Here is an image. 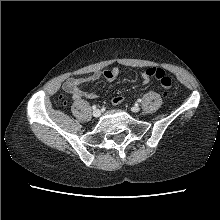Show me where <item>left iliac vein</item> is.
Returning a JSON list of instances; mask_svg holds the SVG:
<instances>
[{"mask_svg": "<svg viewBox=\"0 0 220 220\" xmlns=\"http://www.w3.org/2000/svg\"><path fill=\"white\" fill-rule=\"evenodd\" d=\"M131 110L135 113L139 112L140 111V107L138 105H135L131 108Z\"/></svg>", "mask_w": 220, "mask_h": 220, "instance_id": "4c4485c4", "label": "left iliac vein"}]
</instances>
